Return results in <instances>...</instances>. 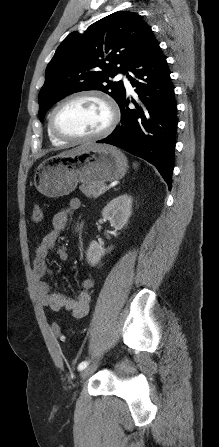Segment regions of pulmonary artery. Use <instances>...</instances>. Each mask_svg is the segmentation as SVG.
<instances>
[{"mask_svg": "<svg viewBox=\"0 0 219 447\" xmlns=\"http://www.w3.org/2000/svg\"><path fill=\"white\" fill-rule=\"evenodd\" d=\"M118 78L123 80V82H124L126 88L128 89V91H132L131 84H130V82H129V80H128V78L126 76L120 74L118 76Z\"/></svg>", "mask_w": 219, "mask_h": 447, "instance_id": "e3ab8cb5", "label": "pulmonary artery"}]
</instances>
